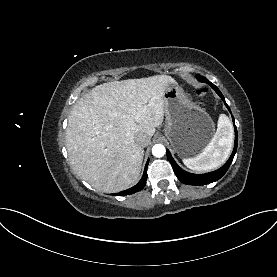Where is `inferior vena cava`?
I'll use <instances>...</instances> for the list:
<instances>
[{
    "label": "inferior vena cava",
    "mask_w": 277,
    "mask_h": 277,
    "mask_svg": "<svg viewBox=\"0 0 277 277\" xmlns=\"http://www.w3.org/2000/svg\"><path fill=\"white\" fill-rule=\"evenodd\" d=\"M135 141L142 147H145L148 145L149 143V139L148 137L146 136V134L144 133H138L136 136H135Z\"/></svg>",
    "instance_id": "602c4592"
}]
</instances>
